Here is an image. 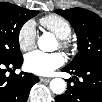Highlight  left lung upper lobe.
Wrapping results in <instances>:
<instances>
[{
  "label": "left lung upper lobe",
  "instance_id": "obj_1",
  "mask_svg": "<svg viewBox=\"0 0 102 102\" xmlns=\"http://www.w3.org/2000/svg\"><path fill=\"white\" fill-rule=\"evenodd\" d=\"M74 28L78 39V54L66 67L80 64H102V19L95 13L82 8L56 10Z\"/></svg>",
  "mask_w": 102,
  "mask_h": 102
}]
</instances>
